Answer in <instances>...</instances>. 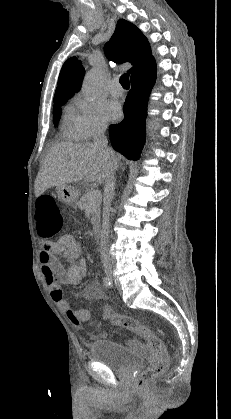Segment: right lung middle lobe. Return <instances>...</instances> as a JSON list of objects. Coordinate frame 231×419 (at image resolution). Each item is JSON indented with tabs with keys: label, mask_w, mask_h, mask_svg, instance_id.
<instances>
[{
	"label": "right lung middle lobe",
	"mask_w": 231,
	"mask_h": 419,
	"mask_svg": "<svg viewBox=\"0 0 231 419\" xmlns=\"http://www.w3.org/2000/svg\"><path fill=\"white\" fill-rule=\"evenodd\" d=\"M67 99H62L58 101H54V107H53V122L55 125L58 124L60 117H61V109L60 107L66 103Z\"/></svg>",
	"instance_id": "dd1d6c3e"
}]
</instances>
